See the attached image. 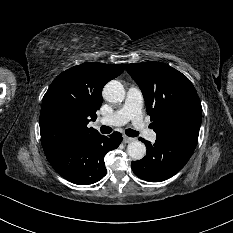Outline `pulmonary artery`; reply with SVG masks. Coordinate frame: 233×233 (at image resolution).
<instances>
[{
    "label": "pulmonary artery",
    "mask_w": 233,
    "mask_h": 233,
    "mask_svg": "<svg viewBox=\"0 0 233 233\" xmlns=\"http://www.w3.org/2000/svg\"><path fill=\"white\" fill-rule=\"evenodd\" d=\"M144 99L141 90L135 86L128 88L124 103L110 115L98 119V123L105 125H122L132 121L134 126L149 141H155L157 134L155 131L147 128L143 121L142 107Z\"/></svg>",
    "instance_id": "obj_1"
}]
</instances>
